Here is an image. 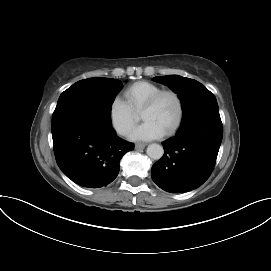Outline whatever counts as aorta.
I'll return each mask as SVG.
<instances>
[{
  "label": "aorta",
  "mask_w": 271,
  "mask_h": 271,
  "mask_svg": "<svg viewBox=\"0 0 271 271\" xmlns=\"http://www.w3.org/2000/svg\"><path fill=\"white\" fill-rule=\"evenodd\" d=\"M146 152L147 155L154 160H159L164 154L163 147L156 143L150 144Z\"/></svg>",
  "instance_id": "obj_1"
}]
</instances>
